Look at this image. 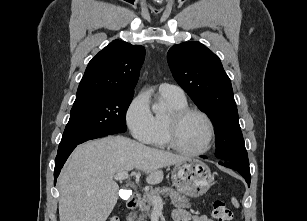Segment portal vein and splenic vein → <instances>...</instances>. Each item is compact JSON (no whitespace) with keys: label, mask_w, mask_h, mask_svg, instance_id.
Returning <instances> with one entry per match:
<instances>
[{"label":"portal vein and splenic vein","mask_w":307,"mask_h":221,"mask_svg":"<svg viewBox=\"0 0 307 221\" xmlns=\"http://www.w3.org/2000/svg\"><path fill=\"white\" fill-rule=\"evenodd\" d=\"M129 178H130V176H129L127 171H124V172H121V173H118V174L114 175V179L115 180H125V179H129ZM152 203H153L154 207H158V208H162L163 207L162 198L159 197V196H154L152 198Z\"/></svg>","instance_id":"18ae733b"}]
</instances>
